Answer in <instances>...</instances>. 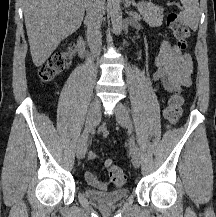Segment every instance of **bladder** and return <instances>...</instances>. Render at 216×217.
<instances>
[{"label": "bladder", "instance_id": "31cf9c89", "mask_svg": "<svg viewBox=\"0 0 216 217\" xmlns=\"http://www.w3.org/2000/svg\"><path fill=\"white\" fill-rule=\"evenodd\" d=\"M85 195L96 203L102 205H111L124 201L129 195V189L125 186H122L114 190L99 192L90 188H86Z\"/></svg>", "mask_w": 216, "mask_h": 217}]
</instances>
